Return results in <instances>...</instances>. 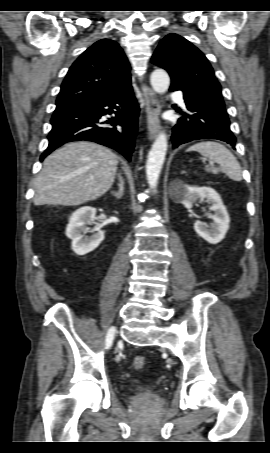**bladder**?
Wrapping results in <instances>:
<instances>
[{"mask_svg":"<svg viewBox=\"0 0 270 453\" xmlns=\"http://www.w3.org/2000/svg\"><path fill=\"white\" fill-rule=\"evenodd\" d=\"M148 393H149V394H152V392H151V391H148Z\"/></svg>","mask_w":270,"mask_h":453,"instance_id":"bladder-1","label":"bladder"}]
</instances>
